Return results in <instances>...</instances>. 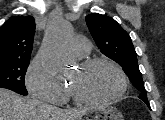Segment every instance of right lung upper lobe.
<instances>
[{
  "label": "right lung upper lobe",
  "instance_id": "right-lung-upper-lobe-1",
  "mask_svg": "<svg viewBox=\"0 0 165 120\" xmlns=\"http://www.w3.org/2000/svg\"><path fill=\"white\" fill-rule=\"evenodd\" d=\"M35 20L32 16H17L0 28V58L30 59Z\"/></svg>",
  "mask_w": 165,
  "mask_h": 120
}]
</instances>
